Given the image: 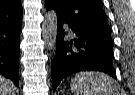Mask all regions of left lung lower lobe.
<instances>
[{"label":"left lung lower lobe","instance_id":"obj_1","mask_svg":"<svg viewBox=\"0 0 135 95\" xmlns=\"http://www.w3.org/2000/svg\"><path fill=\"white\" fill-rule=\"evenodd\" d=\"M57 23V51L51 63L53 90L62 79L81 71H101L116 79L110 32L77 26L62 18ZM65 23L75 34L71 40L65 39Z\"/></svg>","mask_w":135,"mask_h":95}]
</instances>
